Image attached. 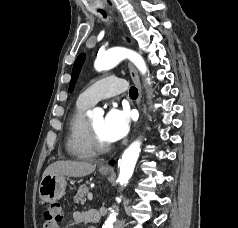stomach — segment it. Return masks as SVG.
Returning <instances> with one entry per match:
<instances>
[{"instance_id": "stomach-1", "label": "stomach", "mask_w": 238, "mask_h": 228, "mask_svg": "<svg viewBox=\"0 0 238 228\" xmlns=\"http://www.w3.org/2000/svg\"><path fill=\"white\" fill-rule=\"evenodd\" d=\"M103 176L109 175L108 171H101ZM66 178L63 175H46L42 178L39 186V196L45 202L59 200L65 193Z\"/></svg>"}]
</instances>
